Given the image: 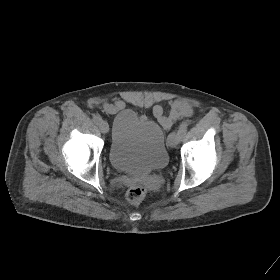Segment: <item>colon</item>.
Here are the masks:
<instances>
[{
	"mask_svg": "<svg viewBox=\"0 0 280 280\" xmlns=\"http://www.w3.org/2000/svg\"><path fill=\"white\" fill-rule=\"evenodd\" d=\"M146 195V189L140 184L131 186L126 192V199L132 204L140 203Z\"/></svg>",
	"mask_w": 280,
	"mask_h": 280,
	"instance_id": "5ec220e1",
	"label": "colon"
}]
</instances>
